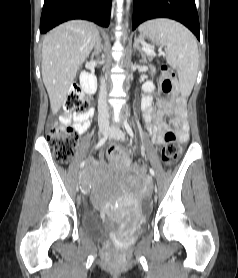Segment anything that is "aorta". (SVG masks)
I'll return each mask as SVG.
<instances>
[{"mask_svg":"<svg viewBox=\"0 0 238 278\" xmlns=\"http://www.w3.org/2000/svg\"><path fill=\"white\" fill-rule=\"evenodd\" d=\"M130 3H131V0H126V9L128 10L129 7H130ZM128 26V23L126 22V27Z\"/></svg>","mask_w":238,"mask_h":278,"instance_id":"aorta-1","label":"aorta"}]
</instances>
